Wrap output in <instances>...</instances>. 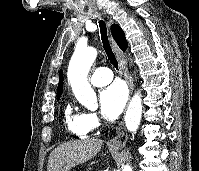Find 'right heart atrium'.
Masks as SVG:
<instances>
[{
  "label": "right heart atrium",
  "instance_id": "obj_1",
  "mask_svg": "<svg viewBox=\"0 0 199 171\" xmlns=\"http://www.w3.org/2000/svg\"><path fill=\"white\" fill-rule=\"evenodd\" d=\"M84 125L86 129L89 131H93L97 129L100 125V119L94 112H86L84 113Z\"/></svg>",
  "mask_w": 199,
  "mask_h": 171
}]
</instances>
